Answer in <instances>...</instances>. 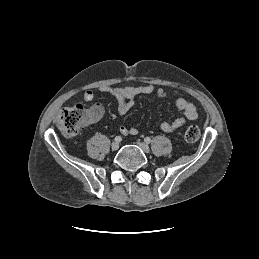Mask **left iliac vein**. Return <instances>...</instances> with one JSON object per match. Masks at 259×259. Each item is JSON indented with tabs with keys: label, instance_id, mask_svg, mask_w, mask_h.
<instances>
[{
	"label": "left iliac vein",
	"instance_id": "4c4485c4",
	"mask_svg": "<svg viewBox=\"0 0 259 259\" xmlns=\"http://www.w3.org/2000/svg\"><path fill=\"white\" fill-rule=\"evenodd\" d=\"M137 145L141 148V150L144 152V153H149L150 152V148L148 146V144L144 143V142H137Z\"/></svg>",
	"mask_w": 259,
	"mask_h": 259
}]
</instances>
